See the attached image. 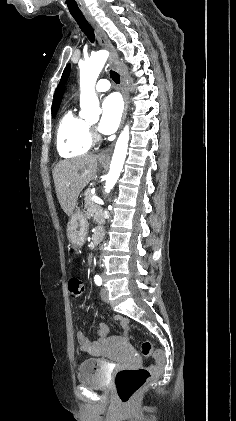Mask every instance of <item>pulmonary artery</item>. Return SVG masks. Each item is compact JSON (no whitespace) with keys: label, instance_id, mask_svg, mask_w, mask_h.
Instances as JSON below:
<instances>
[{"label":"pulmonary artery","instance_id":"e3ab8cb5","mask_svg":"<svg viewBox=\"0 0 236 421\" xmlns=\"http://www.w3.org/2000/svg\"><path fill=\"white\" fill-rule=\"evenodd\" d=\"M95 88L98 92H104L110 89V82L108 79H100L96 85Z\"/></svg>","mask_w":236,"mask_h":421}]
</instances>
